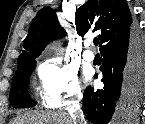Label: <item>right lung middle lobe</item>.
<instances>
[{"mask_svg":"<svg viewBox=\"0 0 145 124\" xmlns=\"http://www.w3.org/2000/svg\"><path fill=\"white\" fill-rule=\"evenodd\" d=\"M35 68V62L19 69L13 77L9 101L13 107L28 108L36 105L28 95L29 77Z\"/></svg>","mask_w":145,"mask_h":124,"instance_id":"1","label":"right lung middle lobe"}]
</instances>
